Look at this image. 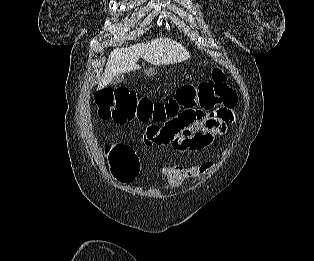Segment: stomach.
I'll return each mask as SVG.
<instances>
[{"instance_id":"obj_1","label":"stomach","mask_w":314,"mask_h":261,"mask_svg":"<svg viewBox=\"0 0 314 261\" xmlns=\"http://www.w3.org/2000/svg\"><path fill=\"white\" fill-rule=\"evenodd\" d=\"M146 74L147 75H154V74H156L155 69L150 68V69L146 70Z\"/></svg>"}]
</instances>
